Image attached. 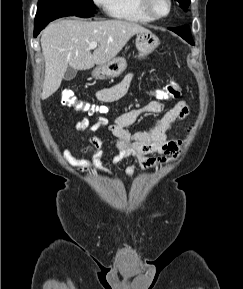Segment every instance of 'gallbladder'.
<instances>
[{
  "label": "gallbladder",
  "instance_id": "1",
  "mask_svg": "<svg viewBox=\"0 0 243 289\" xmlns=\"http://www.w3.org/2000/svg\"><path fill=\"white\" fill-rule=\"evenodd\" d=\"M76 74H77V70L76 69H74L72 67H68L63 78L66 81H71L72 79L75 78Z\"/></svg>",
  "mask_w": 243,
  "mask_h": 289
}]
</instances>
